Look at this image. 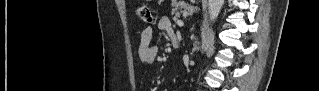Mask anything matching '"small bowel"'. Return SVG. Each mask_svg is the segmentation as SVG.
<instances>
[{"mask_svg":"<svg viewBox=\"0 0 319 91\" xmlns=\"http://www.w3.org/2000/svg\"><path fill=\"white\" fill-rule=\"evenodd\" d=\"M156 29L161 32H165L169 37L175 34L171 21L168 17H162L158 20ZM154 28H145L140 36V42L138 46L139 58L143 63L152 64L156 61L158 56V47L153 44Z\"/></svg>","mask_w":319,"mask_h":91,"instance_id":"1","label":"small bowel"}]
</instances>
